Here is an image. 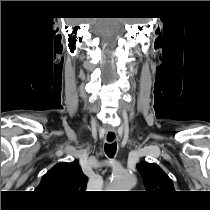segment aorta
<instances>
[{
    "label": "aorta",
    "instance_id": "aorta-1",
    "mask_svg": "<svg viewBox=\"0 0 210 210\" xmlns=\"http://www.w3.org/2000/svg\"><path fill=\"white\" fill-rule=\"evenodd\" d=\"M136 184V177L133 173L125 170H117L112 174L110 189L117 191H129Z\"/></svg>",
    "mask_w": 210,
    "mask_h": 210
}]
</instances>
